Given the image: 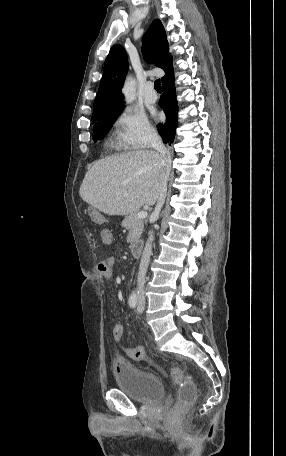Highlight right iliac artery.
I'll return each mask as SVG.
<instances>
[{
	"label": "right iliac artery",
	"instance_id": "1",
	"mask_svg": "<svg viewBox=\"0 0 286 456\" xmlns=\"http://www.w3.org/2000/svg\"><path fill=\"white\" fill-rule=\"evenodd\" d=\"M138 302V296L136 292H133L129 297V305L132 308H135Z\"/></svg>",
	"mask_w": 286,
	"mask_h": 456
}]
</instances>
